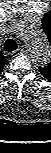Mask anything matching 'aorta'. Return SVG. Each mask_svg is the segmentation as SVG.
Listing matches in <instances>:
<instances>
[{"instance_id": "obj_1", "label": "aorta", "mask_w": 51, "mask_h": 153, "mask_svg": "<svg viewBox=\"0 0 51 153\" xmlns=\"http://www.w3.org/2000/svg\"><path fill=\"white\" fill-rule=\"evenodd\" d=\"M35 63L46 65L50 61V47L46 35L40 29L31 28L23 23L17 31Z\"/></svg>"}]
</instances>
